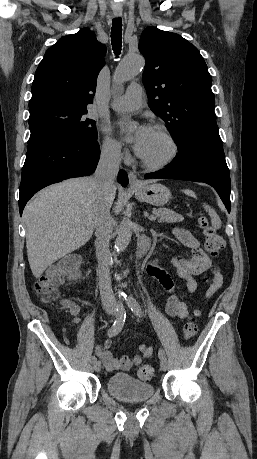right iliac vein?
I'll return each instance as SVG.
<instances>
[{"label": "right iliac vein", "mask_w": 257, "mask_h": 459, "mask_svg": "<svg viewBox=\"0 0 257 459\" xmlns=\"http://www.w3.org/2000/svg\"><path fill=\"white\" fill-rule=\"evenodd\" d=\"M107 311H108L109 314H112V311L110 310V308H108ZM93 369L96 372H99L101 370V363L99 361L94 362L93 363Z\"/></svg>", "instance_id": "right-iliac-vein-1"}]
</instances>
